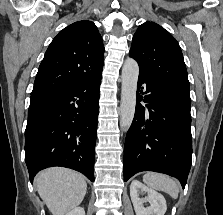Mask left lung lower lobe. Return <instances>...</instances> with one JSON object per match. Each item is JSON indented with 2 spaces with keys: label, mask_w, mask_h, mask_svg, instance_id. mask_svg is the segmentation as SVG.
<instances>
[{
  "label": "left lung lower lobe",
  "mask_w": 223,
  "mask_h": 215,
  "mask_svg": "<svg viewBox=\"0 0 223 215\" xmlns=\"http://www.w3.org/2000/svg\"><path fill=\"white\" fill-rule=\"evenodd\" d=\"M146 91L138 93L141 84ZM142 94L146 107L141 106ZM190 96L139 76L136 110L124 147V181L141 171L176 177L184 188L192 163Z\"/></svg>",
  "instance_id": "obj_1"
}]
</instances>
